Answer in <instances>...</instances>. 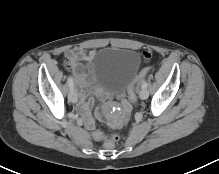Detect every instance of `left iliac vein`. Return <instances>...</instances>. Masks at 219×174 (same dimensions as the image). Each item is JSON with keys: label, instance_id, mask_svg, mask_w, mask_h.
Segmentation results:
<instances>
[{"label": "left iliac vein", "instance_id": "4c4485c4", "mask_svg": "<svg viewBox=\"0 0 219 174\" xmlns=\"http://www.w3.org/2000/svg\"><path fill=\"white\" fill-rule=\"evenodd\" d=\"M139 97L141 99H146L148 97V92L146 89L142 88L140 91H139Z\"/></svg>", "mask_w": 219, "mask_h": 174}]
</instances>
